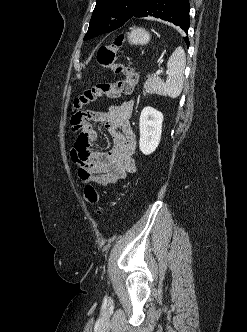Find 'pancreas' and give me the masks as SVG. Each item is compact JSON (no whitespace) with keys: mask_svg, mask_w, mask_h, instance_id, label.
Returning a JSON list of instances; mask_svg holds the SVG:
<instances>
[{"mask_svg":"<svg viewBox=\"0 0 247 332\" xmlns=\"http://www.w3.org/2000/svg\"><path fill=\"white\" fill-rule=\"evenodd\" d=\"M160 84L161 81L155 74H149L144 83V95L156 93Z\"/></svg>","mask_w":247,"mask_h":332,"instance_id":"1","label":"pancreas"}]
</instances>
